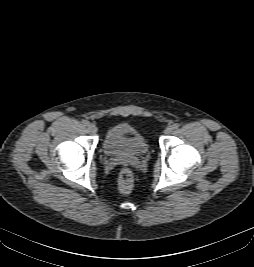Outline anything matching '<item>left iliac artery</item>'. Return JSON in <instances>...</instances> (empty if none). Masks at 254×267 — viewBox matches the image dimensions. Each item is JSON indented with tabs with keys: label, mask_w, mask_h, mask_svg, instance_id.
<instances>
[{
	"label": "left iliac artery",
	"mask_w": 254,
	"mask_h": 267,
	"mask_svg": "<svg viewBox=\"0 0 254 267\" xmlns=\"http://www.w3.org/2000/svg\"><path fill=\"white\" fill-rule=\"evenodd\" d=\"M173 126L175 129H177V128H179L180 125L178 123H175Z\"/></svg>",
	"instance_id": "1"
}]
</instances>
